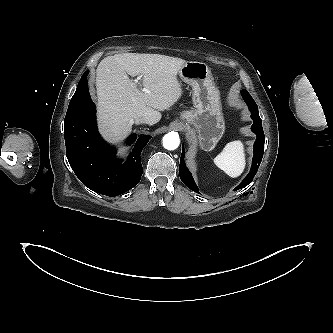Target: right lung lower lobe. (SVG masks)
<instances>
[{"instance_id":"right-lung-lower-lobe-1","label":"right lung lower lobe","mask_w":333,"mask_h":333,"mask_svg":"<svg viewBox=\"0 0 333 333\" xmlns=\"http://www.w3.org/2000/svg\"><path fill=\"white\" fill-rule=\"evenodd\" d=\"M86 71L72 97L64 120L66 156L79 180L89 189L107 196L120 195L142 176L141 152L151 136H141L127 161L115 157L116 150L97 131L95 104L90 98ZM136 135L128 142L134 143Z\"/></svg>"}]
</instances>
